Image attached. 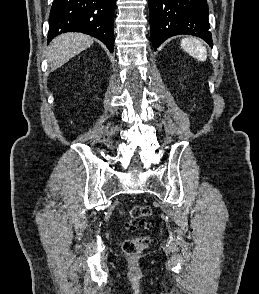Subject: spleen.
Instances as JSON below:
<instances>
[{
    "label": "spleen",
    "instance_id": "1",
    "mask_svg": "<svg viewBox=\"0 0 259 294\" xmlns=\"http://www.w3.org/2000/svg\"><path fill=\"white\" fill-rule=\"evenodd\" d=\"M181 47L199 61H206L207 51L200 40L196 38H184L181 40Z\"/></svg>",
    "mask_w": 259,
    "mask_h": 294
}]
</instances>
